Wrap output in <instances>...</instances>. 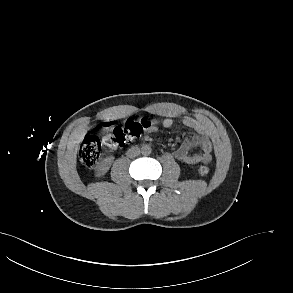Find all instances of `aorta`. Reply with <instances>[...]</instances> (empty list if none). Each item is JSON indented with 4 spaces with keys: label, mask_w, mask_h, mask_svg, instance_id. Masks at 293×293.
I'll return each instance as SVG.
<instances>
[{
    "label": "aorta",
    "mask_w": 293,
    "mask_h": 293,
    "mask_svg": "<svg viewBox=\"0 0 293 293\" xmlns=\"http://www.w3.org/2000/svg\"><path fill=\"white\" fill-rule=\"evenodd\" d=\"M141 151L143 155H149L152 151V148L149 145H143Z\"/></svg>",
    "instance_id": "1"
}]
</instances>
